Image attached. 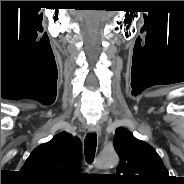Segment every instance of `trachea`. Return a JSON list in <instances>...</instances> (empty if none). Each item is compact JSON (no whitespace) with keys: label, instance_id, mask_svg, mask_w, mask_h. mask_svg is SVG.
<instances>
[{"label":"trachea","instance_id":"3493384b","mask_svg":"<svg viewBox=\"0 0 184 184\" xmlns=\"http://www.w3.org/2000/svg\"><path fill=\"white\" fill-rule=\"evenodd\" d=\"M96 146H97L96 133L87 134L84 141V151L88 163H91L95 157Z\"/></svg>","mask_w":184,"mask_h":184}]
</instances>
